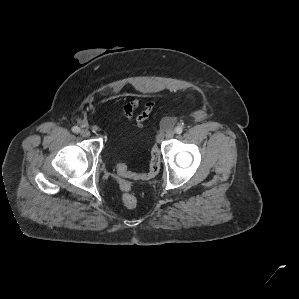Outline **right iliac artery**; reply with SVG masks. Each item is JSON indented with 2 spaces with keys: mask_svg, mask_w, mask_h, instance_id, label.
Instances as JSON below:
<instances>
[{
  "mask_svg": "<svg viewBox=\"0 0 299 299\" xmlns=\"http://www.w3.org/2000/svg\"><path fill=\"white\" fill-rule=\"evenodd\" d=\"M72 131H73L74 133H79V132H80V128L77 127V126H74V127L72 128Z\"/></svg>",
  "mask_w": 299,
  "mask_h": 299,
  "instance_id": "1",
  "label": "right iliac artery"
}]
</instances>
